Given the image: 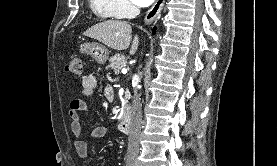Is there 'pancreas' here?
Returning <instances> with one entry per match:
<instances>
[{
    "instance_id": "pancreas-1",
    "label": "pancreas",
    "mask_w": 277,
    "mask_h": 166,
    "mask_svg": "<svg viewBox=\"0 0 277 166\" xmlns=\"http://www.w3.org/2000/svg\"><path fill=\"white\" fill-rule=\"evenodd\" d=\"M109 62L107 68H111L115 74H119L120 70L126 66L127 60L124 55L116 54L110 58ZM129 109V105L126 104L124 106V113H128Z\"/></svg>"
}]
</instances>
